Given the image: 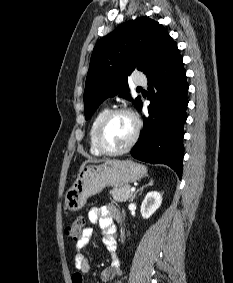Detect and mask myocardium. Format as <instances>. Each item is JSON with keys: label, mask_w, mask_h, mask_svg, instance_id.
Returning <instances> with one entry per match:
<instances>
[{"label": "myocardium", "mask_w": 233, "mask_h": 283, "mask_svg": "<svg viewBox=\"0 0 233 283\" xmlns=\"http://www.w3.org/2000/svg\"><path fill=\"white\" fill-rule=\"evenodd\" d=\"M118 114L129 115L134 121L135 129H134V133L132 135V138L130 139V141L124 147L117 149V150H110V149H108L104 146L103 141H102V136H103L104 130H105L107 124L109 123V121L114 116H116ZM141 127H142V124H141L140 119L131 109L126 108V107H119V108L109 110L108 113L103 117V119L101 120V122L99 123V125L97 127V130H96V133H95L96 147L104 155L115 156V155H120V154L126 153L137 142L139 135H140V132H141Z\"/></svg>", "instance_id": "myocardium-1"}]
</instances>
